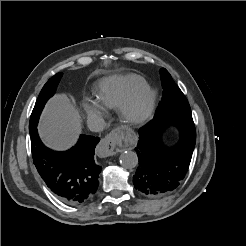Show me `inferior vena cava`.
Returning a JSON list of instances; mask_svg holds the SVG:
<instances>
[{"label": "inferior vena cava", "mask_w": 246, "mask_h": 246, "mask_svg": "<svg viewBox=\"0 0 246 246\" xmlns=\"http://www.w3.org/2000/svg\"><path fill=\"white\" fill-rule=\"evenodd\" d=\"M87 125L92 132H101L104 130L106 123L101 116H89Z\"/></svg>", "instance_id": "1"}]
</instances>
